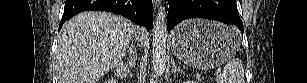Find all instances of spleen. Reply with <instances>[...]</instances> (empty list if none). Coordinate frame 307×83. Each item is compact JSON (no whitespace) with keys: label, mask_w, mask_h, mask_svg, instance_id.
Masks as SVG:
<instances>
[{"label":"spleen","mask_w":307,"mask_h":83,"mask_svg":"<svg viewBox=\"0 0 307 83\" xmlns=\"http://www.w3.org/2000/svg\"><path fill=\"white\" fill-rule=\"evenodd\" d=\"M216 83H245L242 61L239 58L231 59L216 77Z\"/></svg>","instance_id":"3e777b00"}]
</instances>
